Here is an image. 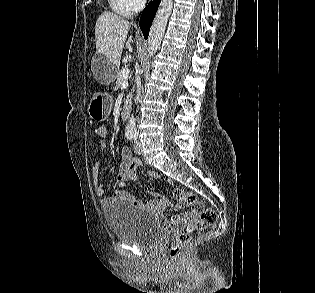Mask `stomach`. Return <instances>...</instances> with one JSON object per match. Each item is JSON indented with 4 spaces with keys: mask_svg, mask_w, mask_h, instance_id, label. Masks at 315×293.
Returning a JSON list of instances; mask_svg holds the SVG:
<instances>
[{
    "mask_svg": "<svg viewBox=\"0 0 315 293\" xmlns=\"http://www.w3.org/2000/svg\"><path fill=\"white\" fill-rule=\"evenodd\" d=\"M112 102L110 95L102 92L94 93L88 107L89 116L96 121L105 120L110 114Z\"/></svg>",
    "mask_w": 315,
    "mask_h": 293,
    "instance_id": "stomach-1",
    "label": "stomach"
}]
</instances>
